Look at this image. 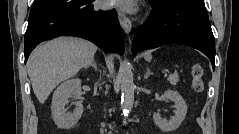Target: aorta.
Wrapping results in <instances>:
<instances>
[{
  "label": "aorta",
  "mask_w": 239,
  "mask_h": 134,
  "mask_svg": "<svg viewBox=\"0 0 239 134\" xmlns=\"http://www.w3.org/2000/svg\"><path fill=\"white\" fill-rule=\"evenodd\" d=\"M120 83H121V108L124 115L132 110L134 104V90L133 73L131 71V64L125 58L120 67Z\"/></svg>",
  "instance_id": "aorta-1"
}]
</instances>
